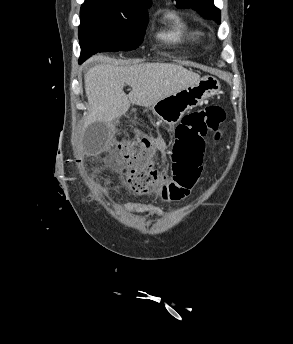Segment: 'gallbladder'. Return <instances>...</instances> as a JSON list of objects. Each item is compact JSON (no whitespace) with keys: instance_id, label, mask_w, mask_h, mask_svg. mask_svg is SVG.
Here are the masks:
<instances>
[{"instance_id":"1","label":"gallbladder","mask_w":293,"mask_h":344,"mask_svg":"<svg viewBox=\"0 0 293 344\" xmlns=\"http://www.w3.org/2000/svg\"><path fill=\"white\" fill-rule=\"evenodd\" d=\"M110 137V129L104 122L91 123L85 130L82 143L89 154L100 152Z\"/></svg>"}]
</instances>
